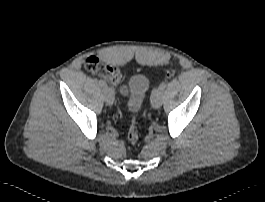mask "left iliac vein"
Wrapping results in <instances>:
<instances>
[{"instance_id":"left-iliac-vein-1","label":"left iliac vein","mask_w":265,"mask_h":202,"mask_svg":"<svg viewBox=\"0 0 265 202\" xmlns=\"http://www.w3.org/2000/svg\"><path fill=\"white\" fill-rule=\"evenodd\" d=\"M152 106L159 109L162 105V93H156L151 99Z\"/></svg>"}]
</instances>
